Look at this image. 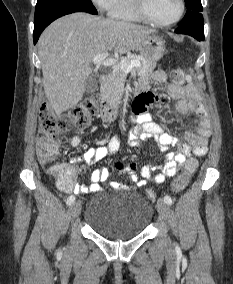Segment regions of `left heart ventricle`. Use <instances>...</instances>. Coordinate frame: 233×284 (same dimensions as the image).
<instances>
[{"instance_id": "left-heart-ventricle-1", "label": "left heart ventricle", "mask_w": 233, "mask_h": 284, "mask_svg": "<svg viewBox=\"0 0 233 284\" xmlns=\"http://www.w3.org/2000/svg\"><path fill=\"white\" fill-rule=\"evenodd\" d=\"M150 14L160 22L173 20L179 12L178 0H147Z\"/></svg>"}]
</instances>
